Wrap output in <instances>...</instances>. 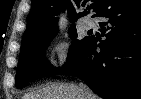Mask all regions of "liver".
I'll return each mask as SVG.
<instances>
[{
  "mask_svg": "<svg viewBox=\"0 0 141 99\" xmlns=\"http://www.w3.org/2000/svg\"><path fill=\"white\" fill-rule=\"evenodd\" d=\"M22 99H85L79 86L75 84H48L25 94ZM92 99H100L93 94Z\"/></svg>",
  "mask_w": 141,
  "mask_h": 99,
  "instance_id": "1",
  "label": "liver"
}]
</instances>
